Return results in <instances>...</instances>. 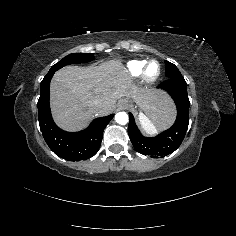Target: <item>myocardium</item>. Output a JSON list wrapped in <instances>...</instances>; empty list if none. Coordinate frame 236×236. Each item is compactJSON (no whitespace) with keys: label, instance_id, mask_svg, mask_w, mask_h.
Listing matches in <instances>:
<instances>
[{"label":"myocardium","instance_id":"myocardium-1","mask_svg":"<svg viewBox=\"0 0 236 236\" xmlns=\"http://www.w3.org/2000/svg\"><path fill=\"white\" fill-rule=\"evenodd\" d=\"M153 62H157L159 64L160 71H159L158 75H156L154 77H151L148 74V67ZM162 73H163L162 64L158 60H156V59H151V60L146 62L145 66H144V68L142 70V74L141 75H142V79H143L144 82H146V83H154V82L158 81L161 78Z\"/></svg>","mask_w":236,"mask_h":236}]
</instances>
